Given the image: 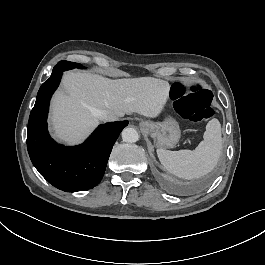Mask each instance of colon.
<instances>
[{"instance_id": "1", "label": "colon", "mask_w": 265, "mask_h": 265, "mask_svg": "<svg viewBox=\"0 0 265 265\" xmlns=\"http://www.w3.org/2000/svg\"><path fill=\"white\" fill-rule=\"evenodd\" d=\"M212 90L195 79H172L168 82L167 96L172 99L176 111L187 120L197 123L211 119L215 110L212 106Z\"/></svg>"}]
</instances>
